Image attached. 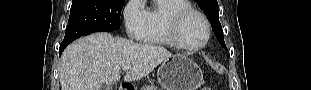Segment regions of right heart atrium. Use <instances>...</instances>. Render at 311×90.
<instances>
[{
	"instance_id": "obj_1",
	"label": "right heart atrium",
	"mask_w": 311,
	"mask_h": 90,
	"mask_svg": "<svg viewBox=\"0 0 311 90\" xmlns=\"http://www.w3.org/2000/svg\"><path fill=\"white\" fill-rule=\"evenodd\" d=\"M123 19L128 38L140 40L146 23V14L142 0H130L123 9Z\"/></svg>"
}]
</instances>
